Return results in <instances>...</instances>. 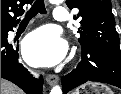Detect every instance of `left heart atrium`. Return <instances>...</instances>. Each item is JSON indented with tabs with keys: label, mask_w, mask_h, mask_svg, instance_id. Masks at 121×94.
<instances>
[{
	"label": "left heart atrium",
	"mask_w": 121,
	"mask_h": 94,
	"mask_svg": "<svg viewBox=\"0 0 121 94\" xmlns=\"http://www.w3.org/2000/svg\"><path fill=\"white\" fill-rule=\"evenodd\" d=\"M66 51L65 41L52 26H44L31 32L23 43V56L34 66L56 65L64 58Z\"/></svg>",
	"instance_id": "39dd6f15"
}]
</instances>
